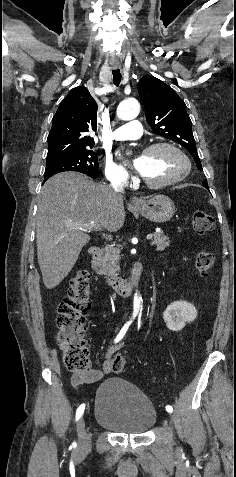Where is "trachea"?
Segmentation results:
<instances>
[{
    "instance_id": "obj_1",
    "label": "trachea",
    "mask_w": 236,
    "mask_h": 477,
    "mask_svg": "<svg viewBox=\"0 0 236 477\" xmlns=\"http://www.w3.org/2000/svg\"><path fill=\"white\" fill-rule=\"evenodd\" d=\"M112 74H113V82L114 84L117 86L120 84L121 82V72H120V69H116V70H113L112 71Z\"/></svg>"
}]
</instances>
